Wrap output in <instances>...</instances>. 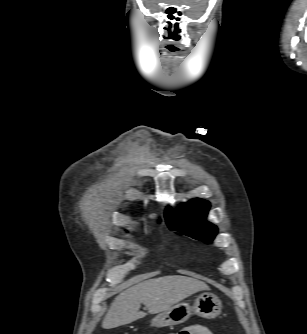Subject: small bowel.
Returning <instances> with one entry per match:
<instances>
[{
  "instance_id": "c3829d8e",
  "label": "small bowel",
  "mask_w": 307,
  "mask_h": 334,
  "mask_svg": "<svg viewBox=\"0 0 307 334\" xmlns=\"http://www.w3.org/2000/svg\"><path fill=\"white\" fill-rule=\"evenodd\" d=\"M183 334H213L211 330L200 324L191 325L182 330Z\"/></svg>"
}]
</instances>
